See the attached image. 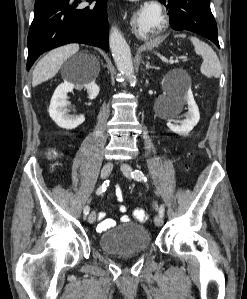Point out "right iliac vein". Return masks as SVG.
Instances as JSON below:
<instances>
[{
	"label": "right iliac vein",
	"instance_id": "1",
	"mask_svg": "<svg viewBox=\"0 0 247 299\" xmlns=\"http://www.w3.org/2000/svg\"><path fill=\"white\" fill-rule=\"evenodd\" d=\"M112 169H113V163L111 162L106 163L101 170V178L102 179L107 178L111 173ZM95 219H96V213L92 211L88 216V222L92 224L95 222Z\"/></svg>",
	"mask_w": 247,
	"mask_h": 299
}]
</instances>
